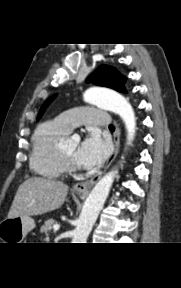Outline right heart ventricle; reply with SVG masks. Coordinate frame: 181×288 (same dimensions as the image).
Wrapping results in <instances>:
<instances>
[{"instance_id":"right-heart-ventricle-1","label":"right heart ventricle","mask_w":181,"mask_h":288,"mask_svg":"<svg viewBox=\"0 0 181 288\" xmlns=\"http://www.w3.org/2000/svg\"><path fill=\"white\" fill-rule=\"evenodd\" d=\"M69 131L56 120L42 123L32 138L30 166L39 175L56 179L67 172L60 154V141Z\"/></svg>"}]
</instances>
